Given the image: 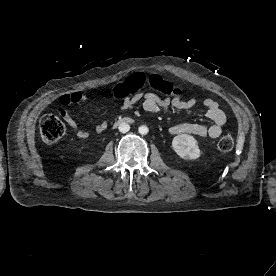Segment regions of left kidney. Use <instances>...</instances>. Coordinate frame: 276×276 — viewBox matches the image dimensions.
<instances>
[{"label":"left kidney","mask_w":276,"mask_h":276,"mask_svg":"<svg viewBox=\"0 0 276 276\" xmlns=\"http://www.w3.org/2000/svg\"><path fill=\"white\" fill-rule=\"evenodd\" d=\"M172 147L177 155L186 160H195L201 155L197 140L188 134L175 136L172 140Z\"/></svg>","instance_id":"1"}]
</instances>
